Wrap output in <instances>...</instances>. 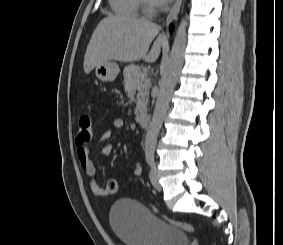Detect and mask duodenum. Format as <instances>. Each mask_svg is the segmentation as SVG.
<instances>
[{
	"mask_svg": "<svg viewBox=\"0 0 283 245\" xmlns=\"http://www.w3.org/2000/svg\"><path fill=\"white\" fill-rule=\"evenodd\" d=\"M137 122L142 127H147L150 123V116L147 114H138L136 117Z\"/></svg>",
	"mask_w": 283,
	"mask_h": 245,
	"instance_id": "1",
	"label": "duodenum"
}]
</instances>
